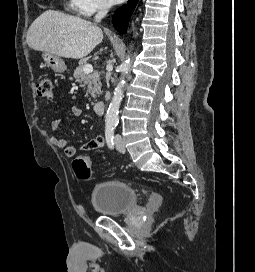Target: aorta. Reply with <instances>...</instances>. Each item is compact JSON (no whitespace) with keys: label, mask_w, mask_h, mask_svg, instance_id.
Listing matches in <instances>:
<instances>
[{"label":"aorta","mask_w":255,"mask_h":272,"mask_svg":"<svg viewBox=\"0 0 255 272\" xmlns=\"http://www.w3.org/2000/svg\"><path fill=\"white\" fill-rule=\"evenodd\" d=\"M131 69V61L129 55L126 56V59L120 65V72L123 77H121L119 83L117 84L113 98L109 104L108 110L105 115V127L106 129H114L118 124V114L120 104L123 98L124 87L126 85V81L124 76L128 74Z\"/></svg>","instance_id":"aorta-1"}]
</instances>
